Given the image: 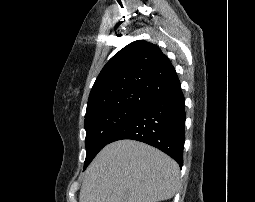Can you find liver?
I'll list each match as a JSON object with an SVG mask.
<instances>
[{
    "label": "liver",
    "mask_w": 255,
    "mask_h": 202,
    "mask_svg": "<svg viewBox=\"0 0 255 202\" xmlns=\"http://www.w3.org/2000/svg\"><path fill=\"white\" fill-rule=\"evenodd\" d=\"M179 166L135 140L106 145L85 172L79 202H160L178 189Z\"/></svg>",
    "instance_id": "liver-1"
}]
</instances>
